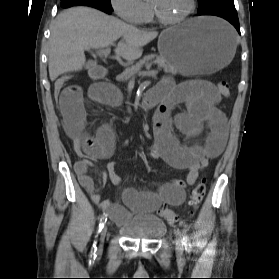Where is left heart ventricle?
I'll return each mask as SVG.
<instances>
[{
    "instance_id": "1",
    "label": "left heart ventricle",
    "mask_w": 279,
    "mask_h": 279,
    "mask_svg": "<svg viewBox=\"0 0 279 279\" xmlns=\"http://www.w3.org/2000/svg\"><path fill=\"white\" fill-rule=\"evenodd\" d=\"M166 18L181 16L190 6V0H149Z\"/></svg>"
}]
</instances>
